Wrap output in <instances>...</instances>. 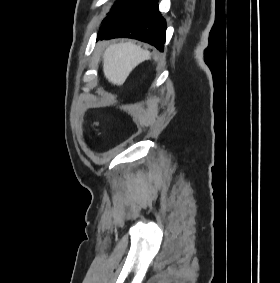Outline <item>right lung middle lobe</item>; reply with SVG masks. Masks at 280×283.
Instances as JSON below:
<instances>
[{"instance_id":"obj_1","label":"right lung middle lobe","mask_w":280,"mask_h":283,"mask_svg":"<svg viewBox=\"0 0 280 283\" xmlns=\"http://www.w3.org/2000/svg\"><path fill=\"white\" fill-rule=\"evenodd\" d=\"M141 1L142 0H120L119 2H116L112 7L110 13H108V16L103 20L102 25L104 26L110 19H112L119 13L135 6Z\"/></svg>"}]
</instances>
